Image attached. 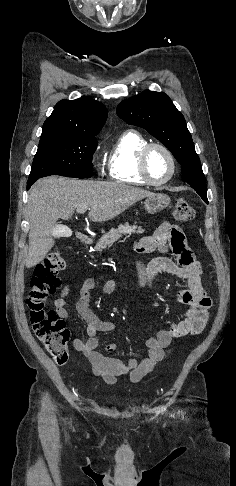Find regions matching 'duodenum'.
I'll return each instance as SVG.
<instances>
[{
	"mask_svg": "<svg viewBox=\"0 0 236 486\" xmlns=\"http://www.w3.org/2000/svg\"><path fill=\"white\" fill-rule=\"evenodd\" d=\"M76 236H77V239H78V240H79L81 243H83V244H88V243H89V241H90L89 237H88L87 235H85L84 233H82V232H78V233L76 234Z\"/></svg>",
	"mask_w": 236,
	"mask_h": 486,
	"instance_id": "duodenum-1",
	"label": "duodenum"
}]
</instances>
